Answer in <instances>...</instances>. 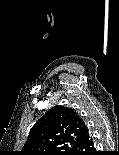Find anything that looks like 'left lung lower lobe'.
I'll return each instance as SVG.
<instances>
[{
    "label": "left lung lower lobe",
    "instance_id": "0a47b994",
    "mask_svg": "<svg viewBox=\"0 0 119 155\" xmlns=\"http://www.w3.org/2000/svg\"><path fill=\"white\" fill-rule=\"evenodd\" d=\"M79 133V139L76 141L79 149L75 155H103L99 151H96L92 133L84 122Z\"/></svg>",
    "mask_w": 119,
    "mask_h": 155
}]
</instances>
